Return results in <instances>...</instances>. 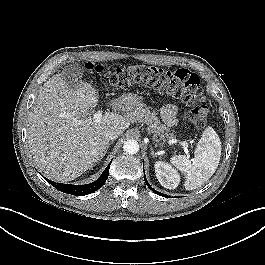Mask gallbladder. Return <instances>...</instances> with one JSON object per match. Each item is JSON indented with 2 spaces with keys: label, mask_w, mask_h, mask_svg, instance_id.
<instances>
[{
  "label": "gallbladder",
  "mask_w": 265,
  "mask_h": 265,
  "mask_svg": "<svg viewBox=\"0 0 265 265\" xmlns=\"http://www.w3.org/2000/svg\"><path fill=\"white\" fill-rule=\"evenodd\" d=\"M83 73V68L80 65H71L65 70L66 83L68 87L74 89L78 84V77Z\"/></svg>",
  "instance_id": "obj_1"
}]
</instances>
